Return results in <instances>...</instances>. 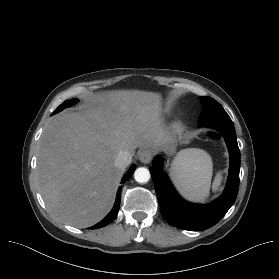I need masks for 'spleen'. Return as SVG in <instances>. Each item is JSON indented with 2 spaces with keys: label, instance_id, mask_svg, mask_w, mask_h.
Wrapping results in <instances>:
<instances>
[{
  "label": "spleen",
  "instance_id": "spleen-1",
  "mask_svg": "<svg viewBox=\"0 0 279 279\" xmlns=\"http://www.w3.org/2000/svg\"><path fill=\"white\" fill-rule=\"evenodd\" d=\"M213 163L211 156L202 149H187L179 153L171 165V178L186 199L204 202L210 194ZM222 181L218 172L213 180L212 189L216 191Z\"/></svg>",
  "mask_w": 279,
  "mask_h": 279
}]
</instances>
